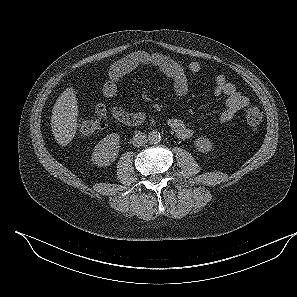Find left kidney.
Here are the masks:
<instances>
[{
    "label": "left kidney",
    "mask_w": 297,
    "mask_h": 297,
    "mask_svg": "<svg viewBox=\"0 0 297 297\" xmlns=\"http://www.w3.org/2000/svg\"><path fill=\"white\" fill-rule=\"evenodd\" d=\"M196 148L202 153H208L212 149V143L209 139L204 137H199L195 140Z\"/></svg>",
    "instance_id": "obj_1"
}]
</instances>
